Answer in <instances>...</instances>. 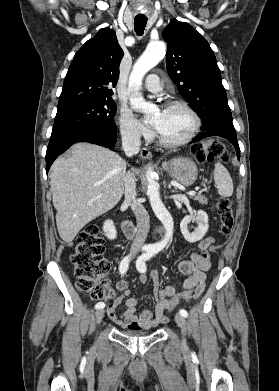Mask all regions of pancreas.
I'll list each match as a JSON object with an SVG mask.
<instances>
[{
    "label": "pancreas",
    "mask_w": 279,
    "mask_h": 391,
    "mask_svg": "<svg viewBox=\"0 0 279 391\" xmlns=\"http://www.w3.org/2000/svg\"><path fill=\"white\" fill-rule=\"evenodd\" d=\"M192 198L201 204H207V198L202 194L194 195Z\"/></svg>",
    "instance_id": "1"
}]
</instances>
